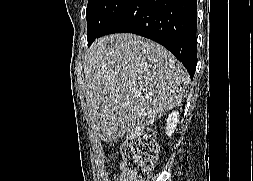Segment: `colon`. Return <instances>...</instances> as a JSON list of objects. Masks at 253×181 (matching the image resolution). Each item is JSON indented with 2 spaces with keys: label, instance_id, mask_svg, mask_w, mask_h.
I'll use <instances>...</instances> for the list:
<instances>
[{
  "label": "colon",
  "instance_id": "1",
  "mask_svg": "<svg viewBox=\"0 0 253 181\" xmlns=\"http://www.w3.org/2000/svg\"><path fill=\"white\" fill-rule=\"evenodd\" d=\"M121 181H147L149 170L158 156L152 132L142 129L128 136L124 146Z\"/></svg>",
  "mask_w": 253,
  "mask_h": 181
}]
</instances>
